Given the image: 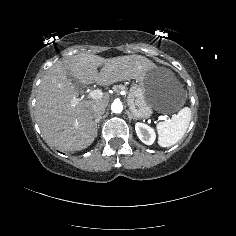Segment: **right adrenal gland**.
Masks as SVG:
<instances>
[{
    "label": "right adrenal gland",
    "instance_id": "2a0ac1e0",
    "mask_svg": "<svg viewBox=\"0 0 236 236\" xmlns=\"http://www.w3.org/2000/svg\"><path fill=\"white\" fill-rule=\"evenodd\" d=\"M101 118H102V117H100L99 120H98V122H96V133H97V130L99 129V127H100V124H99V123H100ZM96 136H97V134H96Z\"/></svg>",
    "mask_w": 236,
    "mask_h": 236
}]
</instances>
